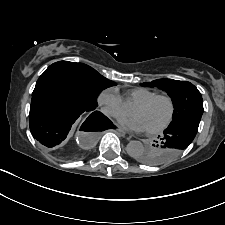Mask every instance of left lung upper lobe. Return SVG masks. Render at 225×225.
I'll return each instance as SVG.
<instances>
[{
	"label": "left lung upper lobe",
	"instance_id": "left-lung-upper-lobe-1",
	"mask_svg": "<svg viewBox=\"0 0 225 225\" xmlns=\"http://www.w3.org/2000/svg\"><path fill=\"white\" fill-rule=\"evenodd\" d=\"M144 86L158 87L168 93L171 97L174 112L172 123L192 115L203 114V100L198 89L186 81H178L173 79H157L152 82L142 83ZM155 142V141H154ZM167 148L160 140L145 149L136 159L139 162L152 165V155L166 151Z\"/></svg>",
	"mask_w": 225,
	"mask_h": 225
}]
</instances>
